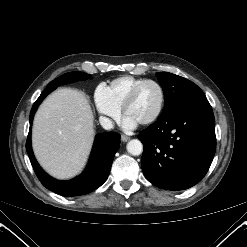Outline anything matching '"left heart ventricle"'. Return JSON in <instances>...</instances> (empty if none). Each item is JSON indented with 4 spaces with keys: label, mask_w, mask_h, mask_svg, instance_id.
<instances>
[{
    "label": "left heart ventricle",
    "mask_w": 247,
    "mask_h": 247,
    "mask_svg": "<svg viewBox=\"0 0 247 247\" xmlns=\"http://www.w3.org/2000/svg\"><path fill=\"white\" fill-rule=\"evenodd\" d=\"M159 103V89L153 84H147L140 90L136 100L129 106L126 115L141 123L154 115Z\"/></svg>",
    "instance_id": "left-heart-ventricle-1"
}]
</instances>
